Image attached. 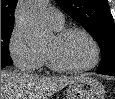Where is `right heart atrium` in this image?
I'll list each match as a JSON object with an SVG mask.
<instances>
[{
	"mask_svg": "<svg viewBox=\"0 0 115 99\" xmlns=\"http://www.w3.org/2000/svg\"><path fill=\"white\" fill-rule=\"evenodd\" d=\"M8 52L14 64L22 71H35L43 63V54L29 47L18 27H14L10 34Z\"/></svg>",
	"mask_w": 115,
	"mask_h": 99,
	"instance_id": "obj_1",
	"label": "right heart atrium"
}]
</instances>
